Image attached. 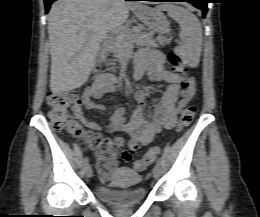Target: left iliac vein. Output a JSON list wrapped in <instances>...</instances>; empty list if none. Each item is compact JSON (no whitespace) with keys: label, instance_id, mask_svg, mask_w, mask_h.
<instances>
[{"label":"left iliac vein","instance_id":"1","mask_svg":"<svg viewBox=\"0 0 260 217\" xmlns=\"http://www.w3.org/2000/svg\"><path fill=\"white\" fill-rule=\"evenodd\" d=\"M152 173H153V177H154L155 179H158V178L160 177V175H161V168H160V166H157V165H156V166L153 168Z\"/></svg>","mask_w":260,"mask_h":217}]
</instances>
